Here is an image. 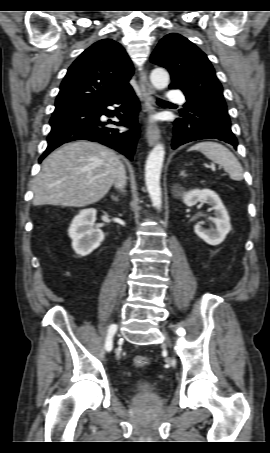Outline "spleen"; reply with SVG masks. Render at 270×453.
Returning <instances> with one entry per match:
<instances>
[{
  "instance_id": "spleen-1",
  "label": "spleen",
  "mask_w": 270,
  "mask_h": 453,
  "mask_svg": "<svg viewBox=\"0 0 270 453\" xmlns=\"http://www.w3.org/2000/svg\"><path fill=\"white\" fill-rule=\"evenodd\" d=\"M197 150L210 160L219 164L236 181L243 179V169L235 155L225 146L217 142H200L189 148V151Z\"/></svg>"
}]
</instances>
